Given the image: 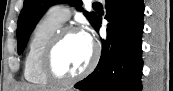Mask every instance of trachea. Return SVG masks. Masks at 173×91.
<instances>
[{
	"label": "trachea",
	"instance_id": "3493384b",
	"mask_svg": "<svg viewBox=\"0 0 173 91\" xmlns=\"http://www.w3.org/2000/svg\"><path fill=\"white\" fill-rule=\"evenodd\" d=\"M93 7H102L101 3L99 2H94Z\"/></svg>",
	"mask_w": 173,
	"mask_h": 91
}]
</instances>
